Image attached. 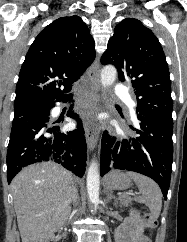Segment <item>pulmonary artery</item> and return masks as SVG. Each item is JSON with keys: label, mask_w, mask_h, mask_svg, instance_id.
Returning <instances> with one entry per match:
<instances>
[{"label": "pulmonary artery", "mask_w": 187, "mask_h": 242, "mask_svg": "<svg viewBox=\"0 0 187 242\" xmlns=\"http://www.w3.org/2000/svg\"><path fill=\"white\" fill-rule=\"evenodd\" d=\"M116 95L119 97V98H125L127 95H128V91H127V88L123 85H118L116 87ZM135 104H131V107H133Z\"/></svg>", "instance_id": "e3ab8cb5"}]
</instances>
